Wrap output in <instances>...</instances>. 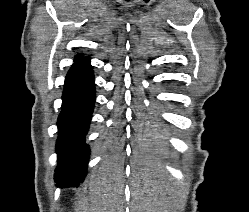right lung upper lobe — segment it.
I'll return each instance as SVG.
<instances>
[{
	"label": "right lung upper lobe",
	"mask_w": 249,
	"mask_h": 212,
	"mask_svg": "<svg viewBox=\"0 0 249 212\" xmlns=\"http://www.w3.org/2000/svg\"><path fill=\"white\" fill-rule=\"evenodd\" d=\"M81 58H83V56L82 55H78V56H76L75 60H78V59H81Z\"/></svg>",
	"instance_id": "right-lung-upper-lobe-1"
}]
</instances>
